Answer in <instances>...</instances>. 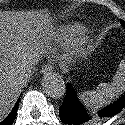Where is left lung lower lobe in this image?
Segmentation results:
<instances>
[{"mask_svg": "<svg viewBox=\"0 0 125 125\" xmlns=\"http://www.w3.org/2000/svg\"><path fill=\"white\" fill-rule=\"evenodd\" d=\"M76 92L67 84L65 100L59 109L60 120L68 125H90L92 122L112 117L119 113L125 106V94L113 104L99 110L92 116L81 104Z\"/></svg>", "mask_w": 125, "mask_h": 125, "instance_id": "obj_1", "label": "left lung lower lobe"}]
</instances>
